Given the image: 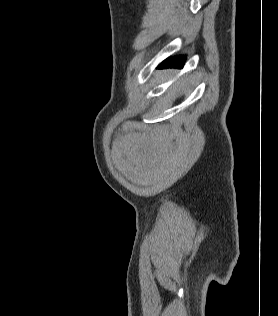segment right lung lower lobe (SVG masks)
<instances>
[{"mask_svg":"<svg viewBox=\"0 0 278 316\" xmlns=\"http://www.w3.org/2000/svg\"><path fill=\"white\" fill-rule=\"evenodd\" d=\"M184 62H185V57H182V56L172 57V58H168L165 61H163L159 65V68H166V67L181 68L183 66Z\"/></svg>","mask_w":278,"mask_h":316,"instance_id":"right-lung-lower-lobe-1","label":"right lung lower lobe"}]
</instances>
